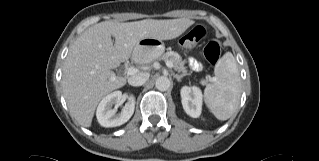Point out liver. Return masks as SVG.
Here are the masks:
<instances>
[{
	"label": "liver",
	"instance_id": "obj_1",
	"mask_svg": "<svg viewBox=\"0 0 319 161\" xmlns=\"http://www.w3.org/2000/svg\"><path fill=\"white\" fill-rule=\"evenodd\" d=\"M193 24L186 18L146 19L104 21L88 28L70 46L63 67V95L71 115L80 125L90 127L99 101L126 84V78L116 76L112 69L131 57L137 43L144 38L174 39Z\"/></svg>",
	"mask_w": 319,
	"mask_h": 161
}]
</instances>
